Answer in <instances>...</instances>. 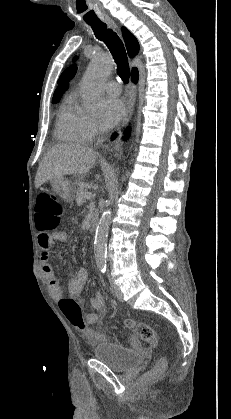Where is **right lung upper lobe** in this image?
I'll return each mask as SVG.
<instances>
[{
    "instance_id": "cb5924a9",
    "label": "right lung upper lobe",
    "mask_w": 231,
    "mask_h": 419,
    "mask_svg": "<svg viewBox=\"0 0 231 419\" xmlns=\"http://www.w3.org/2000/svg\"><path fill=\"white\" fill-rule=\"evenodd\" d=\"M122 35L125 40L126 48L128 50V54L131 58L136 56L139 52V44L137 39L131 34L125 27H122ZM76 67H69L62 73L58 80L59 86L54 92L53 99L60 98L62 93L68 88L69 81L72 79L76 73Z\"/></svg>"
}]
</instances>
